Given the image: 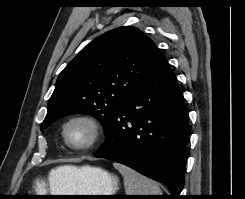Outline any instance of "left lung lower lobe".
<instances>
[{"mask_svg": "<svg viewBox=\"0 0 245 199\" xmlns=\"http://www.w3.org/2000/svg\"><path fill=\"white\" fill-rule=\"evenodd\" d=\"M95 155L124 164L168 186L180 199L184 186L188 110L163 56L152 75L113 112Z\"/></svg>", "mask_w": 245, "mask_h": 199, "instance_id": "left-lung-lower-lobe-1", "label": "left lung lower lobe"}]
</instances>
